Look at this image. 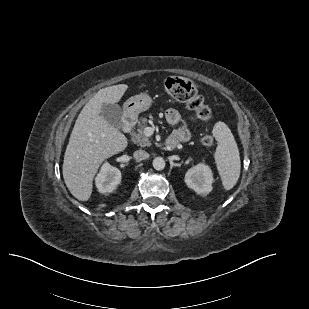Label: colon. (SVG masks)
Masks as SVG:
<instances>
[{
  "label": "colon",
  "instance_id": "obj_1",
  "mask_svg": "<svg viewBox=\"0 0 309 309\" xmlns=\"http://www.w3.org/2000/svg\"><path fill=\"white\" fill-rule=\"evenodd\" d=\"M165 88L175 100L184 103L189 109L193 110L198 118L204 121L210 119L211 110L204 103L202 96L191 81L181 77H169L165 82ZM201 142L210 146L213 143V138L206 135L201 139Z\"/></svg>",
  "mask_w": 309,
  "mask_h": 309
}]
</instances>
